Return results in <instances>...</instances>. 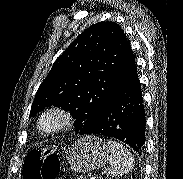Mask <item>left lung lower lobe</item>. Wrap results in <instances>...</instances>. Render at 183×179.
I'll list each match as a JSON object with an SVG mask.
<instances>
[{
	"label": "left lung lower lobe",
	"mask_w": 183,
	"mask_h": 179,
	"mask_svg": "<svg viewBox=\"0 0 183 179\" xmlns=\"http://www.w3.org/2000/svg\"><path fill=\"white\" fill-rule=\"evenodd\" d=\"M145 124L141 85L128 42L110 101L89 134L116 138L141 153L145 143Z\"/></svg>",
	"instance_id": "1"
}]
</instances>
